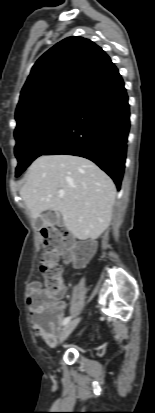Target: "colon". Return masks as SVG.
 <instances>
[{
    "label": "colon",
    "instance_id": "1",
    "mask_svg": "<svg viewBox=\"0 0 155 413\" xmlns=\"http://www.w3.org/2000/svg\"><path fill=\"white\" fill-rule=\"evenodd\" d=\"M46 225L42 228L43 244L47 249L40 269L44 278V285L48 291L58 294L63 287L62 270L59 258L63 250H67V258L83 264L90 257L92 250L84 242H75L67 233L59 231L55 226V216L52 213L44 215ZM48 298L45 295L37 296L39 321L44 325L54 314L53 307H48Z\"/></svg>",
    "mask_w": 155,
    "mask_h": 413
}]
</instances>
